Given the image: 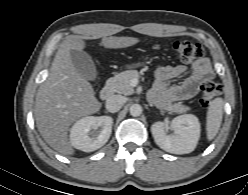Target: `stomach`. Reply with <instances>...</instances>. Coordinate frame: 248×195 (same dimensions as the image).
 Returning a JSON list of instances; mask_svg holds the SVG:
<instances>
[{"label": "stomach", "instance_id": "1", "mask_svg": "<svg viewBox=\"0 0 248 195\" xmlns=\"http://www.w3.org/2000/svg\"><path fill=\"white\" fill-rule=\"evenodd\" d=\"M141 63H137V64H133V65H129L128 67H137V66H141Z\"/></svg>", "mask_w": 248, "mask_h": 195}]
</instances>
